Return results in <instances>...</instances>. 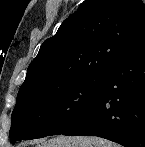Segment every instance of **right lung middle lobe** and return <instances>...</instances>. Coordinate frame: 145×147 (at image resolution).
<instances>
[{"instance_id": "obj_1", "label": "right lung middle lobe", "mask_w": 145, "mask_h": 147, "mask_svg": "<svg viewBox=\"0 0 145 147\" xmlns=\"http://www.w3.org/2000/svg\"><path fill=\"white\" fill-rule=\"evenodd\" d=\"M101 81V74H91L54 91L18 95L11 116V143L62 134L93 101Z\"/></svg>"}]
</instances>
